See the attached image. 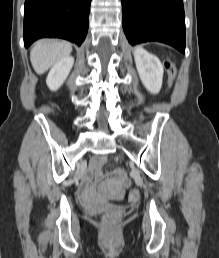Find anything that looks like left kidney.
I'll list each match as a JSON object with an SVG mask.
<instances>
[{
    "label": "left kidney",
    "mask_w": 219,
    "mask_h": 258,
    "mask_svg": "<svg viewBox=\"0 0 219 258\" xmlns=\"http://www.w3.org/2000/svg\"><path fill=\"white\" fill-rule=\"evenodd\" d=\"M134 59L145 88L153 94L159 93L163 81V66L160 60L140 47L135 48Z\"/></svg>",
    "instance_id": "left-kidney-1"
}]
</instances>
